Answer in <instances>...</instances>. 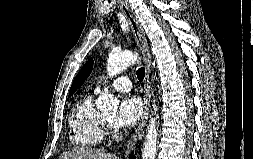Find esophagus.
I'll return each instance as SVG.
<instances>
[{"mask_svg": "<svg viewBox=\"0 0 253 159\" xmlns=\"http://www.w3.org/2000/svg\"><path fill=\"white\" fill-rule=\"evenodd\" d=\"M118 3L131 26L136 44L144 58L145 69H146V74H145V79H144V93H145L144 113L137 129L135 130V132L133 133V135L127 142V145H126V154H127L134 147L136 142L142 139L144 135V129L147 123L148 115H149L150 100H151V82H150L151 54H150V50L145 39L144 31L141 27V24L131 12L128 2L125 0H118Z\"/></svg>", "mask_w": 253, "mask_h": 159, "instance_id": "1", "label": "esophagus"}]
</instances>
